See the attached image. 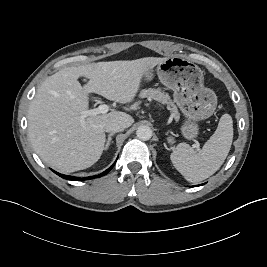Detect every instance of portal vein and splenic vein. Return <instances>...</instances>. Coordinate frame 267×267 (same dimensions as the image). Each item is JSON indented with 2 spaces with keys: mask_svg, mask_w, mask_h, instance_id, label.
<instances>
[{
  "mask_svg": "<svg viewBox=\"0 0 267 267\" xmlns=\"http://www.w3.org/2000/svg\"><path fill=\"white\" fill-rule=\"evenodd\" d=\"M109 111V106L106 104L99 105L96 109L88 110L83 112V117L88 115L106 114ZM197 150H200L199 146L196 144Z\"/></svg>",
  "mask_w": 267,
  "mask_h": 267,
  "instance_id": "obj_1",
  "label": "portal vein and splenic vein"
}]
</instances>
